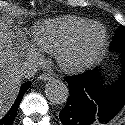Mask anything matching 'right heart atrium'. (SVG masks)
I'll list each match as a JSON object with an SVG mask.
<instances>
[{"mask_svg": "<svg viewBox=\"0 0 125 125\" xmlns=\"http://www.w3.org/2000/svg\"><path fill=\"white\" fill-rule=\"evenodd\" d=\"M25 50L29 58L36 59L38 57L36 50L31 45L28 44Z\"/></svg>", "mask_w": 125, "mask_h": 125, "instance_id": "obj_1", "label": "right heart atrium"}]
</instances>
